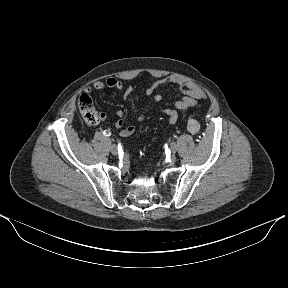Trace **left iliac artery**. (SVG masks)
Masks as SVG:
<instances>
[{"label": "left iliac artery", "instance_id": "1", "mask_svg": "<svg viewBox=\"0 0 288 288\" xmlns=\"http://www.w3.org/2000/svg\"><path fill=\"white\" fill-rule=\"evenodd\" d=\"M167 142H168L169 145H174V144H175V139L172 138V137H169V138L167 139Z\"/></svg>", "mask_w": 288, "mask_h": 288}]
</instances>
